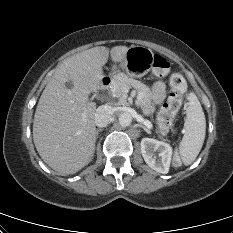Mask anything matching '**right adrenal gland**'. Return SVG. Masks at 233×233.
Returning <instances> with one entry per match:
<instances>
[{
	"label": "right adrenal gland",
	"mask_w": 233,
	"mask_h": 233,
	"mask_svg": "<svg viewBox=\"0 0 233 233\" xmlns=\"http://www.w3.org/2000/svg\"><path fill=\"white\" fill-rule=\"evenodd\" d=\"M103 131V129H97L96 130V137L98 138V134H99V132H102Z\"/></svg>",
	"instance_id": "2a0ac1e0"
}]
</instances>
